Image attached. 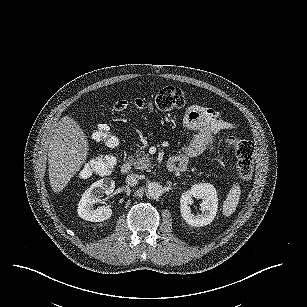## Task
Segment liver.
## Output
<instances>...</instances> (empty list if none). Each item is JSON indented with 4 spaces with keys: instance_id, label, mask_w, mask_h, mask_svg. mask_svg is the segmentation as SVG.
Returning a JSON list of instances; mask_svg holds the SVG:
<instances>
[{
    "instance_id": "liver-1",
    "label": "liver",
    "mask_w": 307,
    "mask_h": 307,
    "mask_svg": "<svg viewBox=\"0 0 307 307\" xmlns=\"http://www.w3.org/2000/svg\"><path fill=\"white\" fill-rule=\"evenodd\" d=\"M87 156L86 137L75 120L62 117L48 147V172L54 192L61 191Z\"/></svg>"
}]
</instances>
